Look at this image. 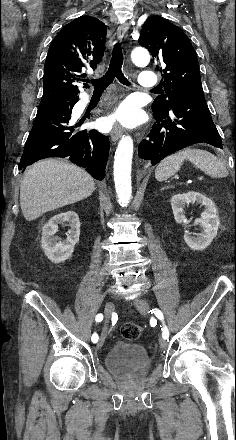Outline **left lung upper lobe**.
Returning <instances> with one entry per match:
<instances>
[{"mask_svg": "<svg viewBox=\"0 0 236 440\" xmlns=\"http://www.w3.org/2000/svg\"><path fill=\"white\" fill-rule=\"evenodd\" d=\"M139 44L147 48L163 72L164 87L152 104L154 114L168 112L180 96L203 92L196 52L186 34L168 20L154 15L142 27Z\"/></svg>", "mask_w": 236, "mask_h": 440, "instance_id": "obj_1", "label": "left lung upper lobe"}]
</instances>
